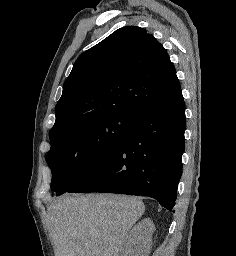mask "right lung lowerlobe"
Wrapping results in <instances>:
<instances>
[{
    "mask_svg": "<svg viewBox=\"0 0 236 256\" xmlns=\"http://www.w3.org/2000/svg\"><path fill=\"white\" fill-rule=\"evenodd\" d=\"M186 128L181 90L141 115L127 135L67 192L143 195L172 211Z\"/></svg>",
    "mask_w": 236,
    "mask_h": 256,
    "instance_id": "98d812e1",
    "label": "right lung lower lobe"
}]
</instances>
